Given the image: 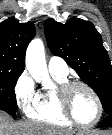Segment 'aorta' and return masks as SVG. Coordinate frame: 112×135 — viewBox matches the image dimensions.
Listing matches in <instances>:
<instances>
[{
    "mask_svg": "<svg viewBox=\"0 0 112 135\" xmlns=\"http://www.w3.org/2000/svg\"><path fill=\"white\" fill-rule=\"evenodd\" d=\"M26 68L32 78L42 85H51L46 59L45 49L41 39H33L26 51Z\"/></svg>",
    "mask_w": 112,
    "mask_h": 135,
    "instance_id": "obj_1",
    "label": "aorta"
}]
</instances>
